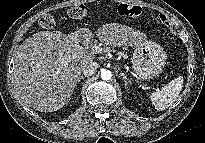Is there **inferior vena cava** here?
<instances>
[{
  "mask_svg": "<svg viewBox=\"0 0 205 143\" xmlns=\"http://www.w3.org/2000/svg\"><path fill=\"white\" fill-rule=\"evenodd\" d=\"M98 67L99 65L97 62L89 61L82 67V73L84 76H91L96 72Z\"/></svg>",
  "mask_w": 205,
  "mask_h": 143,
  "instance_id": "1",
  "label": "inferior vena cava"
}]
</instances>
